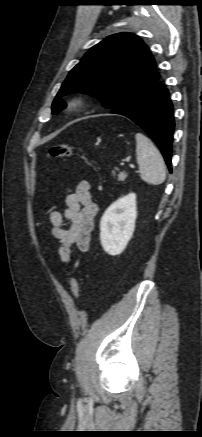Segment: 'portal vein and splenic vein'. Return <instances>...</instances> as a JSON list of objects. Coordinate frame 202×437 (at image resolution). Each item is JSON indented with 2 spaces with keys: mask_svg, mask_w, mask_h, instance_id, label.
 <instances>
[{
  "mask_svg": "<svg viewBox=\"0 0 202 437\" xmlns=\"http://www.w3.org/2000/svg\"><path fill=\"white\" fill-rule=\"evenodd\" d=\"M130 167L134 168V166H133V165H130Z\"/></svg>",
  "mask_w": 202,
  "mask_h": 437,
  "instance_id": "portal-vein-and-splenic-vein-1",
  "label": "portal vein and splenic vein"
}]
</instances>
